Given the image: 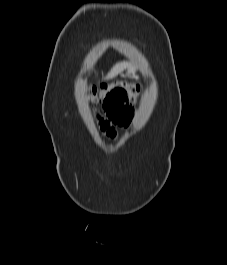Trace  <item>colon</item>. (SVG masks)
Here are the masks:
<instances>
[{"instance_id": "obj_1", "label": "colon", "mask_w": 227, "mask_h": 265, "mask_svg": "<svg viewBox=\"0 0 227 265\" xmlns=\"http://www.w3.org/2000/svg\"><path fill=\"white\" fill-rule=\"evenodd\" d=\"M140 93V88L124 82L102 83L88 87L87 94L93 105L109 120V124L126 125L132 115V103Z\"/></svg>"}]
</instances>
